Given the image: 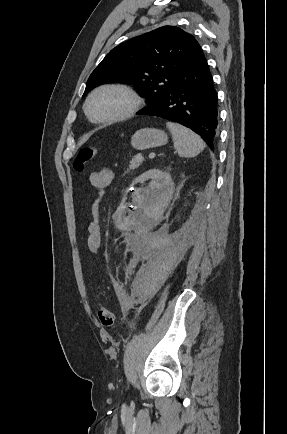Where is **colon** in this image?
Returning <instances> with one entry per match:
<instances>
[{
    "instance_id": "colon-1",
    "label": "colon",
    "mask_w": 287,
    "mask_h": 434,
    "mask_svg": "<svg viewBox=\"0 0 287 434\" xmlns=\"http://www.w3.org/2000/svg\"><path fill=\"white\" fill-rule=\"evenodd\" d=\"M97 149L95 147H84L81 148L73 161V167L75 170L81 172L87 166V164L93 159ZM97 316L101 325L105 328H111L115 323L114 313L105 306H101L97 312Z\"/></svg>"
}]
</instances>
